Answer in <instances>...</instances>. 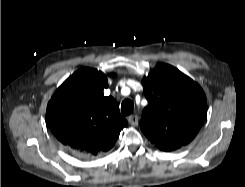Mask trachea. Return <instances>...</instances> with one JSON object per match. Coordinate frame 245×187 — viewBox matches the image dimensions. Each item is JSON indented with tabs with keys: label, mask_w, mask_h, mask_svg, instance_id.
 <instances>
[{
	"label": "trachea",
	"mask_w": 245,
	"mask_h": 187,
	"mask_svg": "<svg viewBox=\"0 0 245 187\" xmlns=\"http://www.w3.org/2000/svg\"><path fill=\"white\" fill-rule=\"evenodd\" d=\"M133 102L130 99H126L121 104V112L124 116L130 115L133 112Z\"/></svg>",
	"instance_id": "trachea-1"
}]
</instances>
